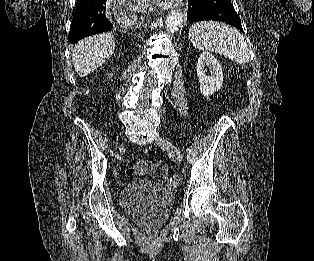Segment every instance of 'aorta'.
<instances>
[{
  "label": "aorta",
  "instance_id": "obj_1",
  "mask_svg": "<svg viewBox=\"0 0 314 261\" xmlns=\"http://www.w3.org/2000/svg\"><path fill=\"white\" fill-rule=\"evenodd\" d=\"M182 24V14L178 10H171L166 18V29L174 33L179 30Z\"/></svg>",
  "mask_w": 314,
  "mask_h": 261
}]
</instances>
